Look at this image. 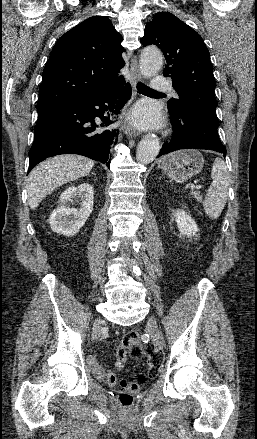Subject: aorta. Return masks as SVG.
Returning <instances> with one entry per match:
<instances>
[{
  "mask_svg": "<svg viewBox=\"0 0 257 439\" xmlns=\"http://www.w3.org/2000/svg\"><path fill=\"white\" fill-rule=\"evenodd\" d=\"M163 65V56L156 47H146L140 56V72L144 77L156 75ZM160 149L158 139L152 134L146 135L138 144L136 157L143 164L151 163Z\"/></svg>",
  "mask_w": 257,
  "mask_h": 439,
  "instance_id": "obj_1",
  "label": "aorta"
}]
</instances>
